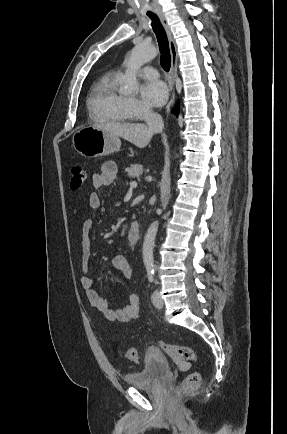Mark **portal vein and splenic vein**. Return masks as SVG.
<instances>
[{
  "label": "portal vein and splenic vein",
  "instance_id": "1",
  "mask_svg": "<svg viewBox=\"0 0 287 434\" xmlns=\"http://www.w3.org/2000/svg\"><path fill=\"white\" fill-rule=\"evenodd\" d=\"M130 187L131 188H136L137 187V182L133 181L130 183Z\"/></svg>",
  "mask_w": 287,
  "mask_h": 434
}]
</instances>
